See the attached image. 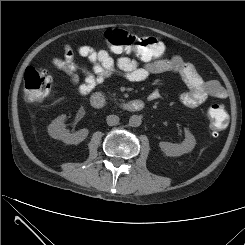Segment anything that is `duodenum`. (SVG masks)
Wrapping results in <instances>:
<instances>
[{
	"mask_svg": "<svg viewBox=\"0 0 245 245\" xmlns=\"http://www.w3.org/2000/svg\"><path fill=\"white\" fill-rule=\"evenodd\" d=\"M89 103L93 108H96V109H103V108H107L111 106L116 109L124 110L127 112H139L145 106L142 100H132L128 102L110 105L107 102L106 98L100 93H93L89 98Z\"/></svg>",
	"mask_w": 245,
	"mask_h": 245,
	"instance_id": "duodenum-1",
	"label": "duodenum"
}]
</instances>
